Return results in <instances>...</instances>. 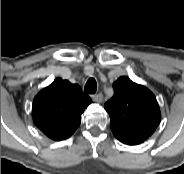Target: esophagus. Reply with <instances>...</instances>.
I'll return each instance as SVG.
<instances>
[{
    "label": "esophagus",
    "mask_w": 184,
    "mask_h": 174,
    "mask_svg": "<svg viewBox=\"0 0 184 174\" xmlns=\"http://www.w3.org/2000/svg\"><path fill=\"white\" fill-rule=\"evenodd\" d=\"M92 100L95 102L101 103L103 101V94L98 93V94L92 95Z\"/></svg>",
    "instance_id": "esophagus-1"
}]
</instances>
